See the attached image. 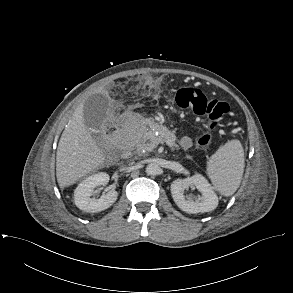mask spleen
Returning a JSON list of instances; mask_svg holds the SVG:
<instances>
[{
    "label": "spleen",
    "instance_id": "1",
    "mask_svg": "<svg viewBox=\"0 0 293 293\" xmlns=\"http://www.w3.org/2000/svg\"><path fill=\"white\" fill-rule=\"evenodd\" d=\"M244 171V150L239 140L228 141L210 158L207 174L214 187L230 196L238 188Z\"/></svg>",
    "mask_w": 293,
    "mask_h": 293
}]
</instances>
